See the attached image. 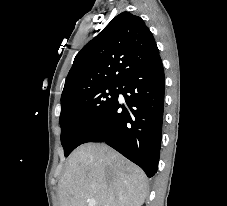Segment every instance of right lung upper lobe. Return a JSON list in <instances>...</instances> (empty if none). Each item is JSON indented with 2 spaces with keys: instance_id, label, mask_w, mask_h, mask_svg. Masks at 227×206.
Wrapping results in <instances>:
<instances>
[{
  "instance_id": "1",
  "label": "right lung upper lobe",
  "mask_w": 227,
  "mask_h": 206,
  "mask_svg": "<svg viewBox=\"0 0 227 206\" xmlns=\"http://www.w3.org/2000/svg\"><path fill=\"white\" fill-rule=\"evenodd\" d=\"M157 57L159 50L144 21L122 12L76 55L61 101L86 89L120 84L130 72Z\"/></svg>"
}]
</instances>
